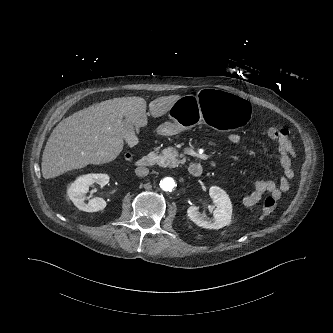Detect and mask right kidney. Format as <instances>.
Returning <instances> with one entry per match:
<instances>
[{
    "label": "right kidney",
    "instance_id": "right-kidney-1",
    "mask_svg": "<svg viewBox=\"0 0 333 333\" xmlns=\"http://www.w3.org/2000/svg\"><path fill=\"white\" fill-rule=\"evenodd\" d=\"M109 182L107 174H87L78 177L69 187L68 195L74 205L82 211L96 212L103 210L106 207V202L103 198L95 197L85 202L86 194L89 187L98 184L101 187Z\"/></svg>",
    "mask_w": 333,
    "mask_h": 333
}]
</instances>
